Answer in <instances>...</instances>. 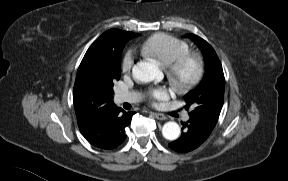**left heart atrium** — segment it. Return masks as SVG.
I'll use <instances>...</instances> for the list:
<instances>
[{
	"instance_id": "1",
	"label": "left heart atrium",
	"mask_w": 288,
	"mask_h": 181,
	"mask_svg": "<svg viewBox=\"0 0 288 181\" xmlns=\"http://www.w3.org/2000/svg\"><path fill=\"white\" fill-rule=\"evenodd\" d=\"M146 95L152 102L163 101L169 98L170 91L164 86L151 87L147 90Z\"/></svg>"
}]
</instances>
